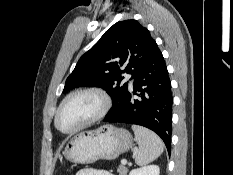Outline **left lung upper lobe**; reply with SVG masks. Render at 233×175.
Here are the masks:
<instances>
[{
	"instance_id": "left-lung-upper-lobe-1",
	"label": "left lung upper lobe",
	"mask_w": 233,
	"mask_h": 175,
	"mask_svg": "<svg viewBox=\"0 0 233 175\" xmlns=\"http://www.w3.org/2000/svg\"><path fill=\"white\" fill-rule=\"evenodd\" d=\"M156 46L150 32L138 21L117 22L79 59L63 92L80 86L101 87L112 98L110 114L120 106L129 89L122 74H132L134 78Z\"/></svg>"
}]
</instances>
